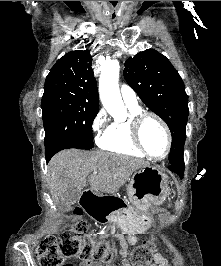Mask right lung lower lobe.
Returning <instances> with one entry per match:
<instances>
[{
    "label": "right lung lower lobe",
    "instance_id": "1",
    "mask_svg": "<svg viewBox=\"0 0 221 266\" xmlns=\"http://www.w3.org/2000/svg\"><path fill=\"white\" fill-rule=\"evenodd\" d=\"M53 155L54 154H46V161L49 162Z\"/></svg>",
    "mask_w": 221,
    "mask_h": 266
}]
</instances>
